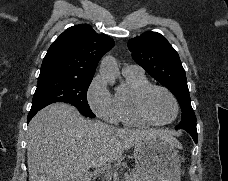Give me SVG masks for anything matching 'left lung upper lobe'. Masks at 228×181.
<instances>
[{"label": "left lung upper lobe", "mask_w": 228, "mask_h": 181, "mask_svg": "<svg viewBox=\"0 0 228 181\" xmlns=\"http://www.w3.org/2000/svg\"><path fill=\"white\" fill-rule=\"evenodd\" d=\"M128 48L136 63L166 86L179 101L182 120L176 129L196 130V116L191 106L185 70L178 53L157 32H145L131 39Z\"/></svg>", "instance_id": "1"}]
</instances>
